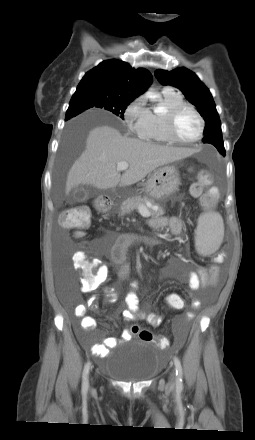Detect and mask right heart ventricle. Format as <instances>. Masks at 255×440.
Returning <instances> with one entry per match:
<instances>
[{"label": "right heart ventricle", "instance_id": "obj_1", "mask_svg": "<svg viewBox=\"0 0 255 440\" xmlns=\"http://www.w3.org/2000/svg\"><path fill=\"white\" fill-rule=\"evenodd\" d=\"M184 103L183 96L179 92L172 88H164L160 96V104L163 110L161 112L150 111L148 128L141 138L153 143H171L166 134L164 115L169 109Z\"/></svg>", "mask_w": 255, "mask_h": 440}]
</instances>
